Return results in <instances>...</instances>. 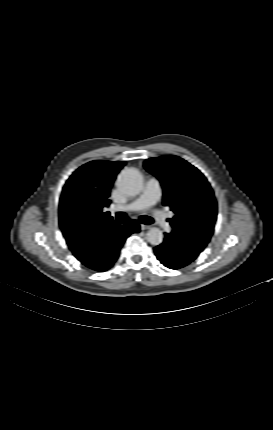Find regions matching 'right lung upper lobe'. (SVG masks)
Wrapping results in <instances>:
<instances>
[{
    "label": "right lung upper lobe",
    "instance_id": "obj_1",
    "mask_svg": "<svg viewBox=\"0 0 273 430\" xmlns=\"http://www.w3.org/2000/svg\"><path fill=\"white\" fill-rule=\"evenodd\" d=\"M124 165L120 161H91L77 169L63 187L59 224L80 261L88 256L90 240L97 233L119 225L103 209L111 202L110 189Z\"/></svg>",
    "mask_w": 273,
    "mask_h": 430
}]
</instances>
